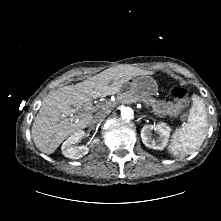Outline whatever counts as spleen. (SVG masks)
I'll return each mask as SVG.
<instances>
[{
  "mask_svg": "<svg viewBox=\"0 0 221 221\" xmlns=\"http://www.w3.org/2000/svg\"><path fill=\"white\" fill-rule=\"evenodd\" d=\"M207 127V109L203 99L193 95L188 122L173 133L172 142L168 147L169 153L174 156L191 154L203 144Z\"/></svg>",
  "mask_w": 221,
  "mask_h": 221,
  "instance_id": "spleen-1",
  "label": "spleen"
}]
</instances>
